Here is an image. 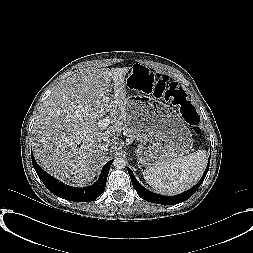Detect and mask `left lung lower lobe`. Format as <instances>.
I'll return each instance as SVG.
<instances>
[{"label":"left lung lower lobe","instance_id":"left-lung-lower-lobe-1","mask_svg":"<svg viewBox=\"0 0 253 253\" xmlns=\"http://www.w3.org/2000/svg\"><path fill=\"white\" fill-rule=\"evenodd\" d=\"M209 164H210V158H209V163L207 164L206 170L201 178V180L190 190L176 195V196H171V197H167V196H162L156 193H153L149 190H147L146 188H144L134 177L133 172L128 169V173L130 175L132 184L134 189H136L138 195L143 198L146 201L152 202V203H157V204H163V205H175L181 202L186 201L188 198H190L195 192L196 190L199 188V186L201 185V183L203 182L208 169H209Z\"/></svg>","mask_w":253,"mask_h":253}]
</instances>
